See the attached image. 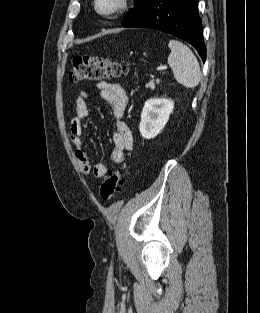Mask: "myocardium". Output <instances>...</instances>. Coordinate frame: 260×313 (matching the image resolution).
I'll use <instances>...</instances> for the list:
<instances>
[{
  "instance_id": "myocardium-1",
  "label": "myocardium",
  "mask_w": 260,
  "mask_h": 313,
  "mask_svg": "<svg viewBox=\"0 0 260 313\" xmlns=\"http://www.w3.org/2000/svg\"><path fill=\"white\" fill-rule=\"evenodd\" d=\"M129 0H116L113 8L103 11L99 8V0H94L93 6L96 13L103 17H112L123 12L128 7Z\"/></svg>"
}]
</instances>
